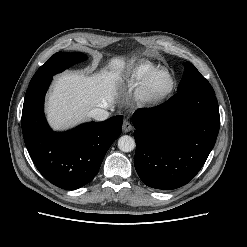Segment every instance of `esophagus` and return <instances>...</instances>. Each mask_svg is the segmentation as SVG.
I'll use <instances>...</instances> for the list:
<instances>
[{
  "label": "esophagus",
  "instance_id": "esophagus-1",
  "mask_svg": "<svg viewBox=\"0 0 247 247\" xmlns=\"http://www.w3.org/2000/svg\"><path fill=\"white\" fill-rule=\"evenodd\" d=\"M132 130V125L128 120H124L123 122V131L124 132H129Z\"/></svg>",
  "mask_w": 247,
  "mask_h": 247
}]
</instances>
